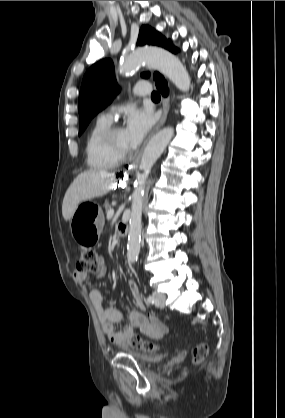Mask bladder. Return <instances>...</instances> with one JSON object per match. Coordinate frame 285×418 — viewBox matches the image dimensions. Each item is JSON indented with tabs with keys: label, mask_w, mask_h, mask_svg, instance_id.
I'll use <instances>...</instances> for the list:
<instances>
[{
	"label": "bladder",
	"mask_w": 285,
	"mask_h": 418,
	"mask_svg": "<svg viewBox=\"0 0 285 418\" xmlns=\"http://www.w3.org/2000/svg\"><path fill=\"white\" fill-rule=\"evenodd\" d=\"M129 355H131L137 362L142 364H153L159 362L163 356L157 355L152 352H144V351H133L131 349H127Z\"/></svg>",
	"instance_id": "obj_1"
}]
</instances>
